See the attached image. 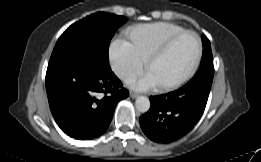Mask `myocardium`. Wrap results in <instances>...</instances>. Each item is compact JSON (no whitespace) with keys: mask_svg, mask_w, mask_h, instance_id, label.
Here are the masks:
<instances>
[{"mask_svg":"<svg viewBox=\"0 0 261 162\" xmlns=\"http://www.w3.org/2000/svg\"><path fill=\"white\" fill-rule=\"evenodd\" d=\"M193 35L196 38L197 41V53L195 56V59L190 67V69L179 79L168 83L164 85H160L162 90L169 91L178 88L179 86L183 85L185 82H187L189 79L193 77V75L196 73L203 53V45L202 40L200 36L192 30H183L177 34L172 35L167 40H165L158 48H156L146 59V67L149 68V66L152 64L153 61L164 55L171 46L182 36L184 35Z\"/></svg>","mask_w":261,"mask_h":162,"instance_id":"obj_1","label":"myocardium"}]
</instances>
